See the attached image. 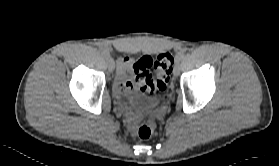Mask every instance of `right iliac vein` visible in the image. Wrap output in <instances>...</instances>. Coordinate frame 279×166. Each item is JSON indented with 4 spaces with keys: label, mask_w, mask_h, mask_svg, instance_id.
I'll list each match as a JSON object with an SVG mask.
<instances>
[{
    "label": "right iliac vein",
    "mask_w": 279,
    "mask_h": 166,
    "mask_svg": "<svg viewBox=\"0 0 279 166\" xmlns=\"http://www.w3.org/2000/svg\"><path fill=\"white\" fill-rule=\"evenodd\" d=\"M107 66L110 71H113L115 68L114 60L111 57L107 58Z\"/></svg>",
    "instance_id": "right-iliac-vein-1"
}]
</instances>
